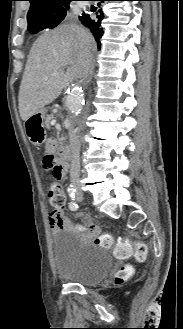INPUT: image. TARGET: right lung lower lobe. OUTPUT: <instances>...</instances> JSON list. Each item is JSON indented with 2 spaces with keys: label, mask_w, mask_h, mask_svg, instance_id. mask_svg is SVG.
<instances>
[{
  "label": "right lung lower lobe",
  "mask_w": 183,
  "mask_h": 329,
  "mask_svg": "<svg viewBox=\"0 0 183 329\" xmlns=\"http://www.w3.org/2000/svg\"><path fill=\"white\" fill-rule=\"evenodd\" d=\"M94 1H105V0H94ZM100 3H98L99 5ZM95 12L91 14L89 12ZM104 18L102 9L96 10L95 7L91 6L90 9L86 10V13H83L82 16H79L80 21L83 25L87 26L90 31L93 33L95 40L97 41L98 47H100V39L103 36L104 30L101 27V21Z\"/></svg>",
  "instance_id": "98d812e1"
}]
</instances>
